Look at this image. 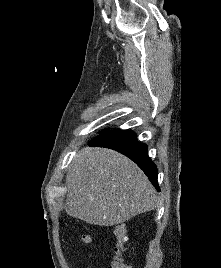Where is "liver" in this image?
Wrapping results in <instances>:
<instances>
[{
    "label": "liver",
    "instance_id": "1",
    "mask_svg": "<svg viewBox=\"0 0 221 268\" xmlns=\"http://www.w3.org/2000/svg\"><path fill=\"white\" fill-rule=\"evenodd\" d=\"M66 184L67 214L89 224L117 225L158 206L156 191L143 171L111 149L79 151Z\"/></svg>",
    "mask_w": 221,
    "mask_h": 268
}]
</instances>
